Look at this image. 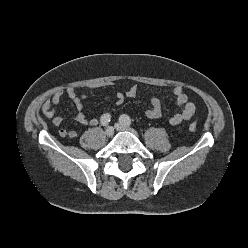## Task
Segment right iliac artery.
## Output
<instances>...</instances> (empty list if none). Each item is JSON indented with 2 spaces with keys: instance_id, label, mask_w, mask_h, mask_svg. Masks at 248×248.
<instances>
[{
  "instance_id": "1",
  "label": "right iliac artery",
  "mask_w": 248,
  "mask_h": 248,
  "mask_svg": "<svg viewBox=\"0 0 248 248\" xmlns=\"http://www.w3.org/2000/svg\"><path fill=\"white\" fill-rule=\"evenodd\" d=\"M110 120H111V115L109 113L103 114L100 119L101 125L107 126Z\"/></svg>"
}]
</instances>
